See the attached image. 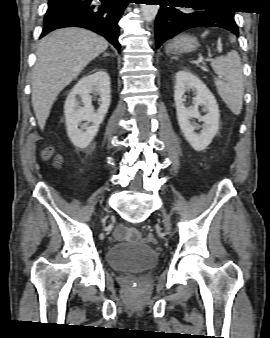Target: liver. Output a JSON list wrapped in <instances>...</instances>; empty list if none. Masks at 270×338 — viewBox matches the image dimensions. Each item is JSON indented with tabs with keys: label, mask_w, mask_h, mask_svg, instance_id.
<instances>
[{
	"label": "liver",
	"mask_w": 270,
	"mask_h": 338,
	"mask_svg": "<svg viewBox=\"0 0 270 338\" xmlns=\"http://www.w3.org/2000/svg\"><path fill=\"white\" fill-rule=\"evenodd\" d=\"M107 48L106 39L81 28L58 29L39 42L32 76V106L41 130L58 94Z\"/></svg>",
	"instance_id": "obj_1"
}]
</instances>
